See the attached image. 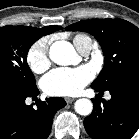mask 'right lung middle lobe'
Listing matches in <instances>:
<instances>
[{
  "instance_id": "1",
  "label": "right lung middle lobe",
  "mask_w": 139,
  "mask_h": 139,
  "mask_svg": "<svg viewBox=\"0 0 139 139\" xmlns=\"http://www.w3.org/2000/svg\"><path fill=\"white\" fill-rule=\"evenodd\" d=\"M40 37L20 26L0 28V85L24 91L36 89L35 77L26 58L30 47Z\"/></svg>"
}]
</instances>
